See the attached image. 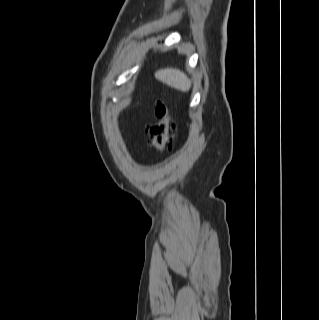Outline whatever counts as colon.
I'll return each instance as SVG.
<instances>
[{
    "label": "colon",
    "mask_w": 319,
    "mask_h": 320,
    "mask_svg": "<svg viewBox=\"0 0 319 320\" xmlns=\"http://www.w3.org/2000/svg\"><path fill=\"white\" fill-rule=\"evenodd\" d=\"M156 121L150 126L151 145L158 152H164L172 147L176 124L171 120L169 109L162 101H157L155 107Z\"/></svg>",
    "instance_id": "colon-1"
}]
</instances>
